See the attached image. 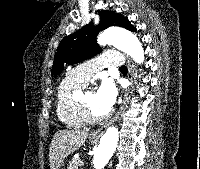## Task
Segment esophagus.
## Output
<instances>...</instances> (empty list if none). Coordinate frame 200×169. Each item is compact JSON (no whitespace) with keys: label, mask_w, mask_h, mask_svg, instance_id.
Instances as JSON below:
<instances>
[{"label":"esophagus","mask_w":200,"mask_h":169,"mask_svg":"<svg viewBox=\"0 0 200 169\" xmlns=\"http://www.w3.org/2000/svg\"><path fill=\"white\" fill-rule=\"evenodd\" d=\"M127 67H128V79H129V82H130V85L129 87L124 91V96H123V102L118 110V112L116 113V115L113 117L112 120H110L108 123L100 126L99 128L93 130L90 134V136L92 137H99L101 136L105 130L111 125L113 124L117 118L121 115V113L123 112L124 110V107H125V104H126V101L128 99V96L133 88V74H134V66L133 64L131 63L130 59L127 58Z\"/></svg>","instance_id":"obj_1"}]
</instances>
